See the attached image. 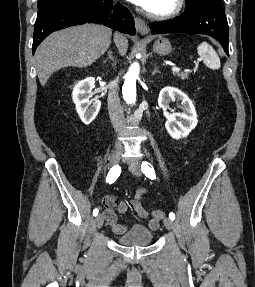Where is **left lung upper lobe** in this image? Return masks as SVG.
Listing matches in <instances>:
<instances>
[{
	"instance_id": "1",
	"label": "left lung upper lobe",
	"mask_w": 255,
	"mask_h": 287,
	"mask_svg": "<svg viewBox=\"0 0 255 287\" xmlns=\"http://www.w3.org/2000/svg\"><path fill=\"white\" fill-rule=\"evenodd\" d=\"M185 1H186V4H188V3L195 1V0H185ZM214 1L219 2V3L221 2V0H214Z\"/></svg>"
}]
</instances>
